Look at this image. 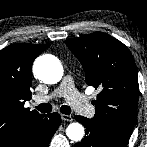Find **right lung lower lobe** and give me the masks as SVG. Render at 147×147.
Segmentation results:
<instances>
[{"label":"right lung lower lobe","instance_id":"obj_1","mask_svg":"<svg viewBox=\"0 0 147 147\" xmlns=\"http://www.w3.org/2000/svg\"><path fill=\"white\" fill-rule=\"evenodd\" d=\"M60 125V115H44L0 143V147H48Z\"/></svg>","mask_w":147,"mask_h":147}]
</instances>
